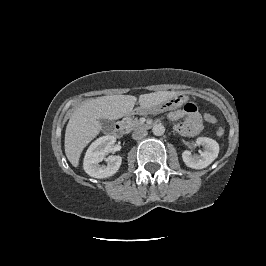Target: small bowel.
<instances>
[{"mask_svg":"<svg viewBox=\"0 0 266 266\" xmlns=\"http://www.w3.org/2000/svg\"><path fill=\"white\" fill-rule=\"evenodd\" d=\"M172 121L184 119L175 125V130L183 136H195L202 129V119L196 104L189 102L182 109L171 111L168 115Z\"/></svg>","mask_w":266,"mask_h":266,"instance_id":"c3829d8e","label":"small bowel"}]
</instances>
